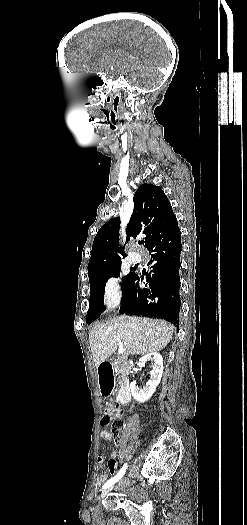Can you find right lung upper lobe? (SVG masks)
<instances>
[{"mask_svg": "<svg viewBox=\"0 0 247 525\" xmlns=\"http://www.w3.org/2000/svg\"><path fill=\"white\" fill-rule=\"evenodd\" d=\"M134 211L127 225V236L145 235V247L177 225L172 206L163 190L143 184L133 197ZM120 219L113 218L98 231L92 246L88 275L120 268L126 253L119 245ZM129 238L127 239V241Z\"/></svg>", "mask_w": 247, "mask_h": 525, "instance_id": "1", "label": "right lung upper lobe"}]
</instances>
